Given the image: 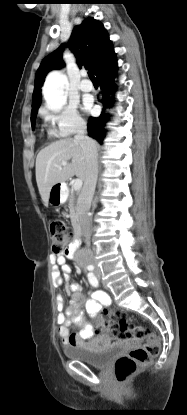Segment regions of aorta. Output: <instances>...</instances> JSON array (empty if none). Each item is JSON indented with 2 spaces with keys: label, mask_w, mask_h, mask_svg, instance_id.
Returning <instances> with one entry per match:
<instances>
[{
  "label": "aorta",
  "mask_w": 187,
  "mask_h": 415,
  "mask_svg": "<svg viewBox=\"0 0 187 415\" xmlns=\"http://www.w3.org/2000/svg\"><path fill=\"white\" fill-rule=\"evenodd\" d=\"M67 83V77L60 71L50 72L43 86V96L48 109L59 112L67 102L64 94V87Z\"/></svg>",
  "instance_id": "1"
}]
</instances>
